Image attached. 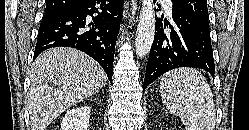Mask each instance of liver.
<instances>
[{"mask_svg": "<svg viewBox=\"0 0 249 130\" xmlns=\"http://www.w3.org/2000/svg\"><path fill=\"white\" fill-rule=\"evenodd\" d=\"M30 79L31 130H45L65 110L98 92L107 76L87 54L59 47L46 50L37 57Z\"/></svg>", "mask_w": 249, "mask_h": 130, "instance_id": "1", "label": "liver"}]
</instances>
